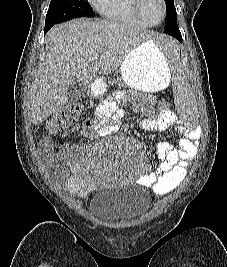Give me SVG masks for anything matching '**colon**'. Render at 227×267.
<instances>
[{
	"mask_svg": "<svg viewBox=\"0 0 227 267\" xmlns=\"http://www.w3.org/2000/svg\"><path fill=\"white\" fill-rule=\"evenodd\" d=\"M159 109H173V104L170 100H161L158 105ZM85 106L79 102L66 108L65 110L56 113L47 123V131L49 134H56L61 130L69 128L77 118L83 113Z\"/></svg>",
	"mask_w": 227,
	"mask_h": 267,
	"instance_id": "5ec220e1",
	"label": "colon"
}]
</instances>
